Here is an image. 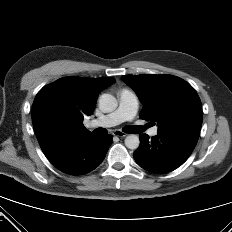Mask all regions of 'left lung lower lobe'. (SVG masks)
Masks as SVG:
<instances>
[{
    "label": "left lung lower lobe",
    "mask_w": 232,
    "mask_h": 232,
    "mask_svg": "<svg viewBox=\"0 0 232 232\" xmlns=\"http://www.w3.org/2000/svg\"><path fill=\"white\" fill-rule=\"evenodd\" d=\"M200 132L191 130L158 131L149 139L141 134L140 146L134 152V159L142 168L163 174L182 165L194 150Z\"/></svg>",
    "instance_id": "0a47b994"
}]
</instances>
